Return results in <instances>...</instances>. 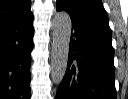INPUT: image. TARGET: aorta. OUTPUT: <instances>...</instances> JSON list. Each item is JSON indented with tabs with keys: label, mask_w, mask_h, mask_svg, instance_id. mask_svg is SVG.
I'll return each instance as SVG.
<instances>
[{
	"label": "aorta",
	"mask_w": 128,
	"mask_h": 99,
	"mask_svg": "<svg viewBox=\"0 0 128 99\" xmlns=\"http://www.w3.org/2000/svg\"><path fill=\"white\" fill-rule=\"evenodd\" d=\"M72 22L68 13L57 12L53 18V42L51 54V78L59 85L66 72Z\"/></svg>",
	"instance_id": "aorta-1"
}]
</instances>
